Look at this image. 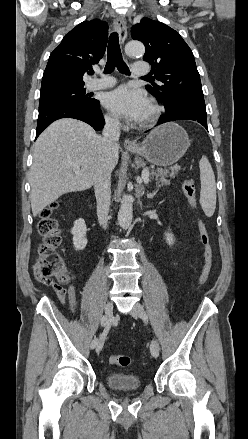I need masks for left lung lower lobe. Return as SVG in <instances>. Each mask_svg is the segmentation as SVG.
I'll list each match as a JSON object with an SVG mask.
<instances>
[{
	"label": "left lung lower lobe",
	"mask_w": 248,
	"mask_h": 439,
	"mask_svg": "<svg viewBox=\"0 0 248 439\" xmlns=\"http://www.w3.org/2000/svg\"><path fill=\"white\" fill-rule=\"evenodd\" d=\"M206 118L205 107L194 104H179L170 111H165V114L160 116L158 123L163 124L176 120H193L208 129Z\"/></svg>",
	"instance_id": "0a47b994"
}]
</instances>
